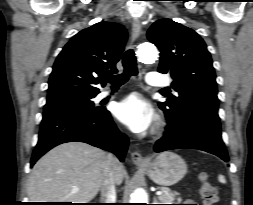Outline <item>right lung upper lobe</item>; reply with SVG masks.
Masks as SVG:
<instances>
[{
  "instance_id": "1",
  "label": "right lung upper lobe",
  "mask_w": 253,
  "mask_h": 205,
  "mask_svg": "<svg viewBox=\"0 0 253 205\" xmlns=\"http://www.w3.org/2000/svg\"><path fill=\"white\" fill-rule=\"evenodd\" d=\"M127 41L126 29L99 22L76 34L58 55L49 79L47 102L69 97L96 96L98 80L117 72ZM100 76L97 77L96 76Z\"/></svg>"
}]
</instances>
